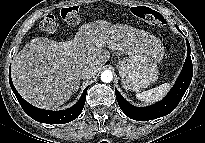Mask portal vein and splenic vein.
I'll return each mask as SVG.
<instances>
[{"label":"portal vein and splenic vein","mask_w":205,"mask_h":143,"mask_svg":"<svg viewBox=\"0 0 205 143\" xmlns=\"http://www.w3.org/2000/svg\"><path fill=\"white\" fill-rule=\"evenodd\" d=\"M96 46H97V47H102L103 44H101V43H96Z\"/></svg>","instance_id":"18ae733b"}]
</instances>
